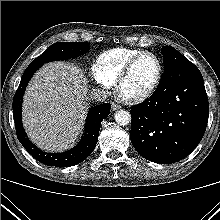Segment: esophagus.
Returning <instances> with one entry per match:
<instances>
[{
  "label": "esophagus",
  "instance_id": "1",
  "mask_svg": "<svg viewBox=\"0 0 220 220\" xmlns=\"http://www.w3.org/2000/svg\"><path fill=\"white\" fill-rule=\"evenodd\" d=\"M111 108H112L113 111H116V110H118L120 108V106L113 102L111 104Z\"/></svg>",
  "mask_w": 220,
  "mask_h": 220
}]
</instances>
